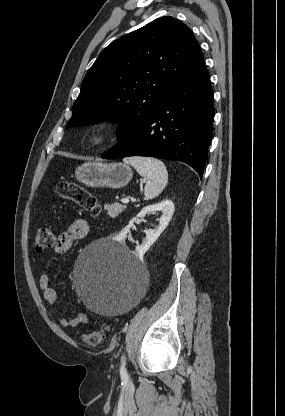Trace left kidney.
Masks as SVG:
<instances>
[{
    "label": "left kidney",
    "mask_w": 285,
    "mask_h": 416,
    "mask_svg": "<svg viewBox=\"0 0 285 416\" xmlns=\"http://www.w3.org/2000/svg\"><path fill=\"white\" fill-rule=\"evenodd\" d=\"M150 212H162V216L159 220L158 228H156V230H145L146 238L143 244H141V246H136L134 254L139 256V258L144 256L145 252L149 250L150 246L156 242L160 234H162L165 228H167L174 214V204L171 202V200H164V202H160V204H154V206H146V208H143V210L137 214L136 218H132L128 226L122 230L119 236L120 240H125V238H127V234L130 232V228H132L137 218H144V216H146V214H150Z\"/></svg>",
    "instance_id": "5707ae66"
}]
</instances>
